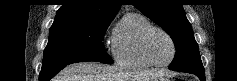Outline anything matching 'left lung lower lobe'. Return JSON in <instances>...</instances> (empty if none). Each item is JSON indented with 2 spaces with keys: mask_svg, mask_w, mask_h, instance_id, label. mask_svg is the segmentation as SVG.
Here are the masks:
<instances>
[{
  "mask_svg": "<svg viewBox=\"0 0 237 81\" xmlns=\"http://www.w3.org/2000/svg\"><path fill=\"white\" fill-rule=\"evenodd\" d=\"M194 75H196L201 81H205V73H192Z\"/></svg>",
  "mask_w": 237,
  "mask_h": 81,
  "instance_id": "0a47b994",
  "label": "left lung lower lobe"
}]
</instances>
